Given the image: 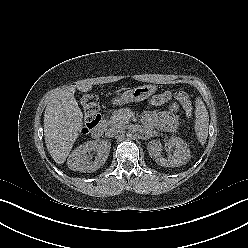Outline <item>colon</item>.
<instances>
[{"instance_id":"obj_1","label":"colon","mask_w":248,"mask_h":248,"mask_svg":"<svg viewBox=\"0 0 248 248\" xmlns=\"http://www.w3.org/2000/svg\"><path fill=\"white\" fill-rule=\"evenodd\" d=\"M171 99H176L177 101H179L182 104L186 114L188 116L192 115V104L188 94L185 92L160 93L153 96L151 101L153 104L161 105L170 101ZM80 102L85 112V130L92 131L101 119L98 97L94 94L85 93L80 96Z\"/></svg>"}]
</instances>
